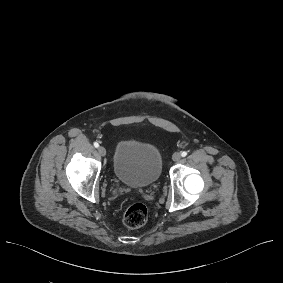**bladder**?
<instances>
[{
    "label": "bladder",
    "mask_w": 283,
    "mask_h": 283,
    "mask_svg": "<svg viewBox=\"0 0 283 283\" xmlns=\"http://www.w3.org/2000/svg\"><path fill=\"white\" fill-rule=\"evenodd\" d=\"M162 169L160 150L150 142L119 140L113 173L122 184L146 187L157 182Z\"/></svg>",
    "instance_id": "bladder-1"
}]
</instances>
